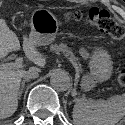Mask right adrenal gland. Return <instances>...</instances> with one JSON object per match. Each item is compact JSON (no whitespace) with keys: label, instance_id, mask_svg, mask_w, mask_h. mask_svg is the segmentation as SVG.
<instances>
[{"label":"right adrenal gland","instance_id":"right-adrenal-gland-1","mask_svg":"<svg viewBox=\"0 0 125 125\" xmlns=\"http://www.w3.org/2000/svg\"><path fill=\"white\" fill-rule=\"evenodd\" d=\"M27 81H28V80H23L22 83H21V86H20V89H19V92H18V96H19V98H20L21 95H22V92H23V89H24L25 83H26Z\"/></svg>","mask_w":125,"mask_h":125}]
</instances>
